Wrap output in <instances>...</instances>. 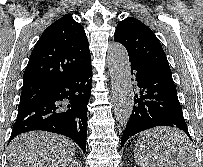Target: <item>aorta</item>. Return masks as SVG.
<instances>
[{
    "instance_id": "1",
    "label": "aorta",
    "mask_w": 203,
    "mask_h": 167,
    "mask_svg": "<svg viewBox=\"0 0 203 167\" xmlns=\"http://www.w3.org/2000/svg\"><path fill=\"white\" fill-rule=\"evenodd\" d=\"M107 63L111 77L115 117L123 125L128 122L131 116L134 94L129 56L122 44L113 43L109 46Z\"/></svg>"
}]
</instances>
